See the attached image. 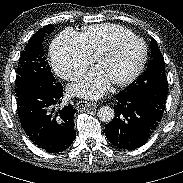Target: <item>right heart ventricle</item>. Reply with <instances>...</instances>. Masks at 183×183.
I'll return each mask as SVG.
<instances>
[{"label":"right heart ventricle","mask_w":183,"mask_h":183,"mask_svg":"<svg viewBox=\"0 0 183 183\" xmlns=\"http://www.w3.org/2000/svg\"><path fill=\"white\" fill-rule=\"evenodd\" d=\"M130 35H134L133 32L115 24L90 26L79 34L84 49L93 59L115 40Z\"/></svg>","instance_id":"obj_1"}]
</instances>
